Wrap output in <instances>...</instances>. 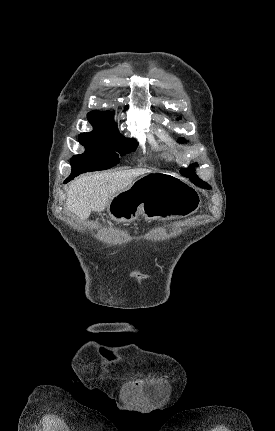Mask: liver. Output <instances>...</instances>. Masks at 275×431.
I'll use <instances>...</instances> for the list:
<instances>
[{
	"instance_id": "liver-1",
	"label": "liver",
	"mask_w": 275,
	"mask_h": 431,
	"mask_svg": "<svg viewBox=\"0 0 275 431\" xmlns=\"http://www.w3.org/2000/svg\"><path fill=\"white\" fill-rule=\"evenodd\" d=\"M149 173L148 169H132L77 178L69 186L67 209L83 221L93 211H104L116 194L129 187L137 177Z\"/></svg>"
}]
</instances>
